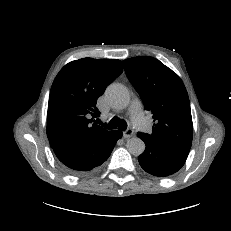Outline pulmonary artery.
<instances>
[{"label": "pulmonary artery", "mask_w": 231, "mask_h": 231, "mask_svg": "<svg viewBox=\"0 0 231 231\" xmlns=\"http://www.w3.org/2000/svg\"><path fill=\"white\" fill-rule=\"evenodd\" d=\"M129 113L132 124L142 130H146V119L142 110V104L139 99L135 98L129 106Z\"/></svg>", "instance_id": "obj_1"}]
</instances>
